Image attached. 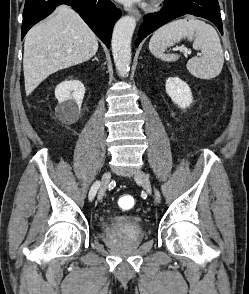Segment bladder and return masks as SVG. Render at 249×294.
Here are the masks:
<instances>
[{"label": "bladder", "instance_id": "1", "mask_svg": "<svg viewBox=\"0 0 249 294\" xmlns=\"http://www.w3.org/2000/svg\"><path fill=\"white\" fill-rule=\"evenodd\" d=\"M106 237H114L124 232H137L143 235V219L132 215H118L112 217L103 227Z\"/></svg>", "mask_w": 249, "mask_h": 294}]
</instances>
